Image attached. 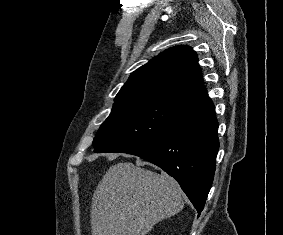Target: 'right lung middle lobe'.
I'll return each mask as SVG.
<instances>
[{
    "mask_svg": "<svg viewBox=\"0 0 283 235\" xmlns=\"http://www.w3.org/2000/svg\"><path fill=\"white\" fill-rule=\"evenodd\" d=\"M186 108L187 104L170 100L114 103L94 138V152H126L148 142L170 128Z\"/></svg>",
    "mask_w": 283,
    "mask_h": 235,
    "instance_id": "dd1d6c3e",
    "label": "right lung middle lobe"
}]
</instances>
